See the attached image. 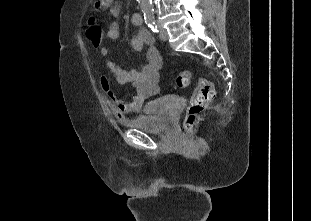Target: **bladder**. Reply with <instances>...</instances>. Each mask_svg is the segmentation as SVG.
<instances>
[{
  "label": "bladder",
  "instance_id": "bladder-1",
  "mask_svg": "<svg viewBox=\"0 0 311 221\" xmlns=\"http://www.w3.org/2000/svg\"><path fill=\"white\" fill-rule=\"evenodd\" d=\"M151 108H144L143 113L129 118L125 125L131 129L141 130L146 134L166 132L173 120L170 115V105L164 98H154Z\"/></svg>",
  "mask_w": 311,
  "mask_h": 221
}]
</instances>
